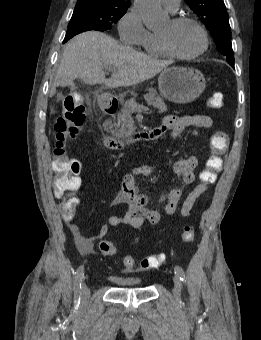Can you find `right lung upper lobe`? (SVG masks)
Listing matches in <instances>:
<instances>
[{
    "label": "right lung upper lobe",
    "instance_id": "1",
    "mask_svg": "<svg viewBox=\"0 0 261 340\" xmlns=\"http://www.w3.org/2000/svg\"><path fill=\"white\" fill-rule=\"evenodd\" d=\"M79 3H98V4H107V5H125L129 6V0H78Z\"/></svg>",
    "mask_w": 261,
    "mask_h": 340
}]
</instances>
